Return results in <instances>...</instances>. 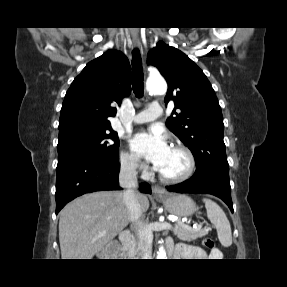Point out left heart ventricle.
Wrapping results in <instances>:
<instances>
[{
	"mask_svg": "<svg viewBox=\"0 0 287 287\" xmlns=\"http://www.w3.org/2000/svg\"><path fill=\"white\" fill-rule=\"evenodd\" d=\"M187 166L185 154L170 148L159 171L167 176H178L186 171Z\"/></svg>",
	"mask_w": 287,
	"mask_h": 287,
	"instance_id": "obj_1",
	"label": "left heart ventricle"
}]
</instances>
